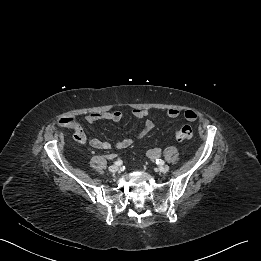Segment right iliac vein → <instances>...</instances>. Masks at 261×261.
<instances>
[{
	"instance_id": "1",
	"label": "right iliac vein",
	"mask_w": 261,
	"mask_h": 261,
	"mask_svg": "<svg viewBox=\"0 0 261 261\" xmlns=\"http://www.w3.org/2000/svg\"><path fill=\"white\" fill-rule=\"evenodd\" d=\"M109 171H110L111 173L117 172V171H118V166H117V165H111V166L109 167Z\"/></svg>"
}]
</instances>
